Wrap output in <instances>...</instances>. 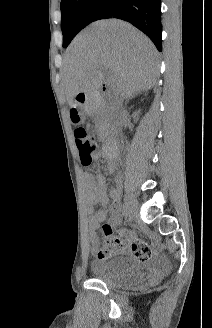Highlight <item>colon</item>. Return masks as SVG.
<instances>
[{"mask_svg": "<svg viewBox=\"0 0 212 328\" xmlns=\"http://www.w3.org/2000/svg\"><path fill=\"white\" fill-rule=\"evenodd\" d=\"M75 143L79 152L81 164L83 166L91 165L97 153L95 139L87 133L84 127L79 126L75 129ZM103 232L105 239L100 254L102 256H108L113 251L117 240L116 237L112 235V230L108 225L103 226ZM150 256L151 253L146 251L142 260H146Z\"/></svg>", "mask_w": 212, "mask_h": 328, "instance_id": "1", "label": "colon"}]
</instances>
